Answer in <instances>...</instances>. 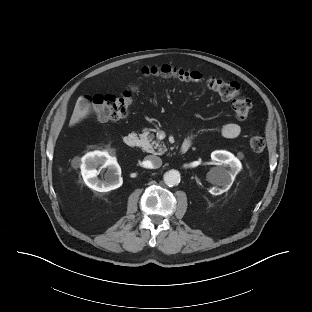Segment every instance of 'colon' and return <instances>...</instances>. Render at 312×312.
I'll return each instance as SVG.
<instances>
[{
	"mask_svg": "<svg viewBox=\"0 0 312 312\" xmlns=\"http://www.w3.org/2000/svg\"><path fill=\"white\" fill-rule=\"evenodd\" d=\"M142 73L147 76H161L177 78L186 82L203 80L202 74L197 71L177 69L169 65L161 67H145ZM207 86L223 99L230 102L237 119H246L252 109L251 101L242 96L237 82L211 77L206 80ZM89 109L99 120H114L127 116L132 104V94L127 91L121 95H95L88 98ZM251 150L260 153L265 148V141L260 136H254L249 141Z\"/></svg>",
	"mask_w": 312,
	"mask_h": 312,
	"instance_id": "obj_1",
	"label": "colon"
}]
</instances>
